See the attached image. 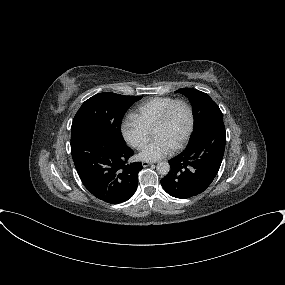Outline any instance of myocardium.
Returning <instances> with one entry per match:
<instances>
[{
  "mask_svg": "<svg viewBox=\"0 0 285 285\" xmlns=\"http://www.w3.org/2000/svg\"><path fill=\"white\" fill-rule=\"evenodd\" d=\"M177 105H183L187 109L188 114H189V125H188L187 132H186L184 138L182 139V141L178 145H176L174 147L175 150L182 149L188 143V141H189V139H190V137H191V135L193 133L194 124H195V118H194V111H193L192 106L187 101H185L183 99H175L162 112V114L160 115V117L156 121V123L154 125V128H153V131H154L156 128H158V127L162 126L163 124H165L166 121L168 120V118L170 117L173 109Z\"/></svg>",
  "mask_w": 285,
  "mask_h": 285,
  "instance_id": "myocardium-1",
  "label": "myocardium"
}]
</instances>
